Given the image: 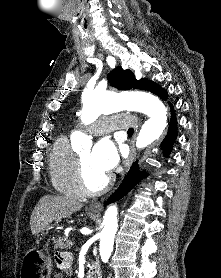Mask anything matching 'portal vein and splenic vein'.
<instances>
[{
	"mask_svg": "<svg viewBox=\"0 0 221 278\" xmlns=\"http://www.w3.org/2000/svg\"><path fill=\"white\" fill-rule=\"evenodd\" d=\"M68 242H69L70 245H73V242H72V241H68Z\"/></svg>",
	"mask_w": 221,
	"mask_h": 278,
	"instance_id": "1",
	"label": "portal vein and splenic vein"
}]
</instances>
